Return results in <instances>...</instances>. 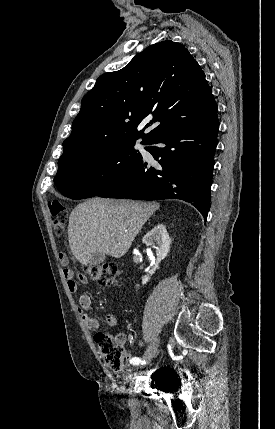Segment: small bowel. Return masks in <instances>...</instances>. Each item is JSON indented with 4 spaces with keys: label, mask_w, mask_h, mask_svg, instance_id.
Masks as SVG:
<instances>
[{
    "label": "small bowel",
    "mask_w": 275,
    "mask_h": 429,
    "mask_svg": "<svg viewBox=\"0 0 275 429\" xmlns=\"http://www.w3.org/2000/svg\"><path fill=\"white\" fill-rule=\"evenodd\" d=\"M64 276L66 278L67 287L71 293H75L77 291V282L74 279V273L71 269H64ZM79 280L82 283H86L87 279L83 276H79ZM79 311L81 313V318L85 326L89 330H97L99 328V321L96 317L92 316L90 314V311L92 310V300L89 295L82 294L79 297ZM106 322L109 326L113 327L117 323V319L113 314H107L106 316ZM123 341L125 340V337L123 335H119Z\"/></svg>",
    "instance_id": "c3829d8e"
}]
</instances>
